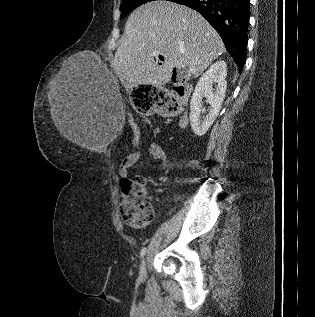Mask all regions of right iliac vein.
Returning <instances> with one entry per match:
<instances>
[{"instance_id": "right-iliac-vein-1", "label": "right iliac vein", "mask_w": 315, "mask_h": 317, "mask_svg": "<svg viewBox=\"0 0 315 317\" xmlns=\"http://www.w3.org/2000/svg\"><path fill=\"white\" fill-rule=\"evenodd\" d=\"M146 278V261L145 259L142 260L139 270V280L143 282Z\"/></svg>"}]
</instances>
